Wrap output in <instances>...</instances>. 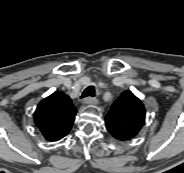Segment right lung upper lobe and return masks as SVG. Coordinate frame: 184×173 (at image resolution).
<instances>
[{"label":"right lung upper lobe","mask_w":184,"mask_h":173,"mask_svg":"<svg viewBox=\"0 0 184 173\" xmlns=\"http://www.w3.org/2000/svg\"><path fill=\"white\" fill-rule=\"evenodd\" d=\"M76 112L69 96L57 91L39 103L34 120L45 139L53 142L69 133Z\"/></svg>","instance_id":"obj_1"}]
</instances>
